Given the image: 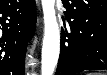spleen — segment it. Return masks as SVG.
I'll return each mask as SVG.
<instances>
[{"label": "spleen", "mask_w": 107, "mask_h": 75, "mask_svg": "<svg viewBox=\"0 0 107 75\" xmlns=\"http://www.w3.org/2000/svg\"><path fill=\"white\" fill-rule=\"evenodd\" d=\"M87 75H100L98 73H88Z\"/></svg>", "instance_id": "spleen-1"}]
</instances>
